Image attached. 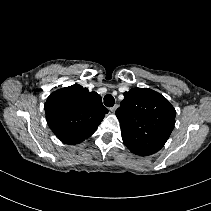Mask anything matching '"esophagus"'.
<instances>
[{
	"instance_id": "1",
	"label": "esophagus",
	"mask_w": 211,
	"mask_h": 211,
	"mask_svg": "<svg viewBox=\"0 0 211 211\" xmlns=\"http://www.w3.org/2000/svg\"><path fill=\"white\" fill-rule=\"evenodd\" d=\"M117 108H118V105L116 104V105H114L113 107L110 108V111L114 113Z\"/></svg>"
}]
</instances>
